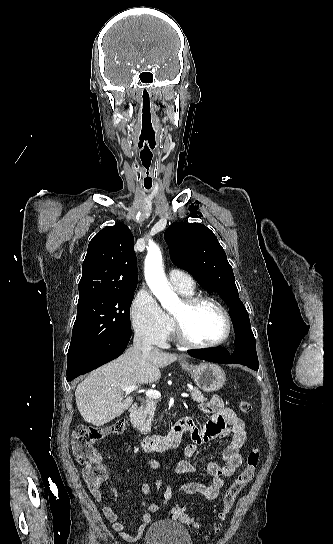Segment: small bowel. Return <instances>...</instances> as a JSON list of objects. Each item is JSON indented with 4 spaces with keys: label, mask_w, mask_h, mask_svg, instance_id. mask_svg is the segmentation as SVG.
I'll list each match as a JSON object with an SVG mask.
<instances>
[{
    "label": "small bowel",
    "mask_w": 333,
    "mask_h": 544,
    "mask_svg": "<svg viewBox=\"0 0 333 544\" xmlns=\"http://www.w3.org/2000/svg\"><path fill=\"white\" fill-rule=\"evenodd\" d=\"M199 408L207 416V422L200 427L193 419H184L186 433L192 442L185 448L184 458L173 466V472L177 474L196 472L199 467V463L196 461L199 448L213 440L230 437V443L223 452L224 464L208 462L204 465L205 471L212 477L210 484L188 482L178 488V492L181 494H199L206 500H214L224 486V478L232 476L242 464L240 450L246 441V427L245 422L234 410L227 407L218 395H214L208 402L200 404ZM141 465L154 470L162 469V464L156 459H148ZM107 478H111L109 473ZM154 485L160 491V499L152 504H148L146 500L151 486L146 482L141 485V491L145 497L141 504L143 514L141 523L134 533L125 531L126 525L120 521L118 514L110 506L102 508L104 517L111 523L113 530L118 532L124 540L128 542L139 540L151 521V513L167 505L173 497L174 490L171 485L164 484L160 480L155 481ZM110 490L112 493H116V488L111 487ZM91 493L96 501L102 500L100 488L91 489Z\"/></svg>",
    "instance_id": "small-bowel-1"
}]
</instances>
